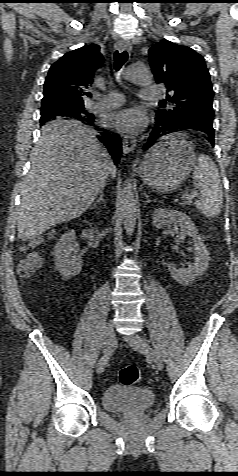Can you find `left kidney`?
Listing matches in <instances>:
<instances>
[{"label": "left kidney", "mask_w": 238, "mask_h": 476, "mask_svg": "<svg viewBox=\"0 0 238 476\" xmlns=\"http://www.w3.org/2000/svg\"><path fill=\"white\" fill-rule=\"evenodd\" d=\"M168 224H174L180 228L176 236L177 242L183 240L186 236L193 240L196 255L193 263H187V268H177L172 263L168 264V270L172 277L182 285H189L208 268L210 261L208 249L188 215L177 210L156 208L153 213V225L161 228Z\"/></svg>", "instance_id": "obj_1"}]
</instances>
